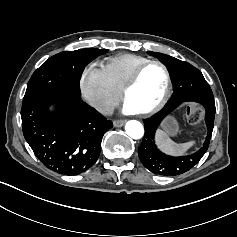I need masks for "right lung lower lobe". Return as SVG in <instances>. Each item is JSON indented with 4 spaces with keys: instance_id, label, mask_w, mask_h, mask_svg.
<instances>
[{
    "instance_id": "98d812e1",
    "label": "right lung lower lobe",
    "mask_w": 237,
    "mask_h": 237,
    "mask_svg": "<svg viewBox=\"0 0 237 237\" xmlns=\"http://www.w3.org/2000/svg\"><path fill=\"white\" fill-rule=\"evenodd\" d=\"M57 103V111L49 106ZM23 134L40 161L64 175H78L97 161L104 133L113 127L80 95L41 98L21 110Z\"/></svg>"
}]
</instances>
